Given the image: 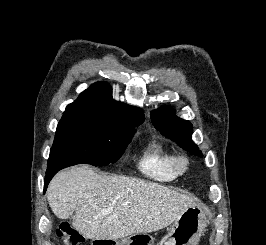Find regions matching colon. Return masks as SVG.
<instances>
[{"label": "colon", "instance_id": "1", "mask_svg": "<svg viewBox=\"0 0 266 245\" xmlns=\"http://www.w3.org/2000/svg\"><path fill=\"white\" fill-rule=\"evenodd\" d=\"M57 234L60 238L64 239L65 245H83L85 241L84 237L78 231L70 227L67 221L59 225Z\"/></svg>", "mask_w": 266, "mask_h": 245}]
</instances>
